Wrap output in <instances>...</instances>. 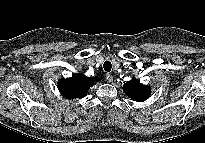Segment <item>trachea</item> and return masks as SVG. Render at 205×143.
Here are the masks:
<instances>
[{"mask_svg":"<svg viewBox=\"0 0 205 143\" xmlns=\"http://www.w3.org/2000/svg\"><path fill=\"white\" fill-rule=\"evenodd\" d=\"M103 68H104L105 71L110 72L111 68H112V65L109 61H105L104 64H103Z\"/></svg>","mask_w":205,"mask_h":143,"instance_id":"obj_1","label":"trachea"}]
</instances>
